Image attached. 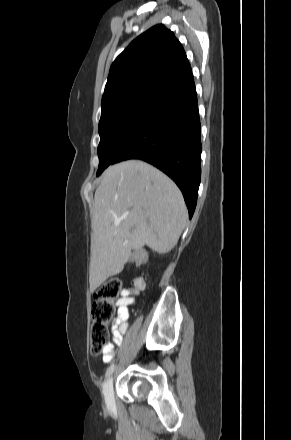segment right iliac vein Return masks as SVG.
<instances>
[{
  "label": "right iliac vein",
  "mask_w": 291,
  "mask_h": 440,
  "mask_svg": "<svg viewBox=\"0 0 291 440\" xmlns=\"http://www.w3.org/2000/svg\"><path fill=\"white\" fill-rule=\"evenodd\" d=\"M105 401L108 406H112L114 403V390H113V378L109 377L103 387Z\"/></svg>",
  "instance_id": "right-iliac-vein-1"
}]
</instances>
